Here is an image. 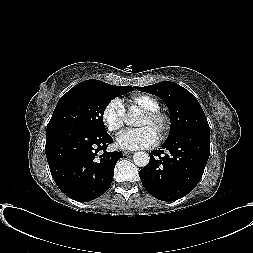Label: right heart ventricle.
I'll return each instance as SVG.
<instances>
[{"label": "right heart ventricle", "instance_id": "e07e8e85", "mask_svg": "<svg viewBox=\"0 0 253 253\" xmlns=\"http://www.w3.org/2000/svg\"><path fill=\"white\" fill-rule=\"evenodd\" d=\"M130 109H140L141 111H153L160 109L159 101L148 94H137L127 99Z\"/></svg>", "mask_w": 253, "mask_h": 253}]
</instances>
